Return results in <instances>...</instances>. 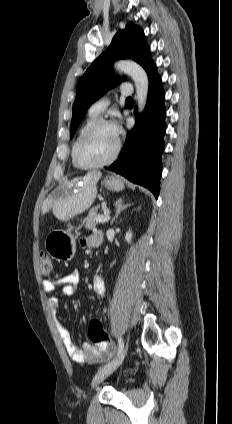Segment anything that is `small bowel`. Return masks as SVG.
Masks as SVG:
<instances>
[{"instance_id": "obj_1", "label": "small bowel", "mask_w": 232, "mask_h": 424, "mask_svg": "<svg viewBox=\"0 0 232 424\" xmlns=\"http://www.w3.org/2000/svg\"><path fill=\"white\" fill-rule=\"evenodd\" d=\"M99 232L87 236L80 241L83 248H90L96 246ZM80 279L78 271H72L63 275L55 280H46L43 283V288L46 293L59 292L66 296H73L76 293V288ZM93 292L99 296H104L105 285L102 278L98 275L94 276L92 280ZM48 305L53 315H57L59 310V301L57 297L52 296L48 299ZM58 332L62 342L66 348L67 353L76 361L80 363H96L105 362L112 354V345L109 343L91 345L83 343L81 347L77 346L67 329L58 325Z\"/></svg>"}]
</instances>
